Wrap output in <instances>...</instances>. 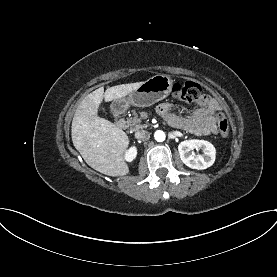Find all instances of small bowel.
I'll return each mask as SVG.
<instances>
[{"label": "small bowel", "mask_w": 277, "mask_h": 277, "mask_svg": "<svg viewBox=\"0 0 277 277\" xmlns=\"http://www.w3.org/2000/svg\"><path fill=\"white\" fill-rule=\"evenodd\" d=\"M159 114L173 127L186 130L195 135H211L218 133L217 114L221 110L220 103L209 96H203L200 107L192 115L181 117L173 112L171 103H161L157 108Z\"/></svg>", "instance_id": "small-bowel-1"}]
</instances>
